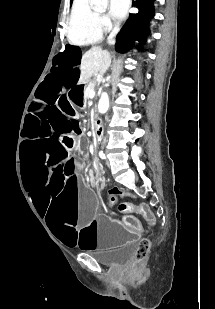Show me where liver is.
I'll return each instance as SVG.
<instances>
[{"label":"liver","instance_id":"1","mask_svg":"<svg viewBox=\"0 0 215 309\" xmlns=\"http://www.w3.org/2000/svg\"><path fill=\"white\" fill-rule=\"evenodd\" d=\"M111 64V54L101 46H91L81 58V74L78 84L91 80L93 74H104Z\"/></svg>","mask_w":215,"mask_h":309}]
</instances>
